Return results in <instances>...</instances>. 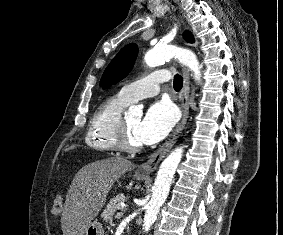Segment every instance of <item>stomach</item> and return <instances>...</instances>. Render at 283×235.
<instances>
[{
  "instance_id": "obj_1",
  "label": "stomach",
  "mask_w": 283,
  "mask_h": 235,
  "mask_svg": "<svg viewBox=\"0 0 283 235\" xmlns=\"http://www.w3.org/2000/svg\"><path fill=\"white\" fill-rule=\"evenodd\" d=\"M134 176L138 180H143L146 177L145 175L140 174L138 172H136ZM84 235H104V230H103L102 224L98 220L92 221L89 224Z\"/></svg>"
}]
</instances>
